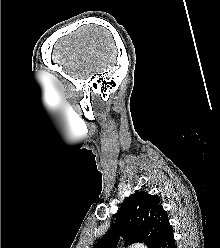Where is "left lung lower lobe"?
I'll return each mask as SVG.
<instances>
[{"instance_id": "1", "label": "left lung lower lobe", "mask_w": 220, "mask_h": 248, "mask_svg": "<svg viewBox=\"0 0 220 248\" xmlns=\"http://www.w3.org/2000/svg\"><path fill=\"white\" fill-rule=\"evenodd\" d=\"M154 248H176L175 240L173 236V230L171 225H169L164 233L162 234L159 242L155 245Z\"/></svg>"}]
</instances>
